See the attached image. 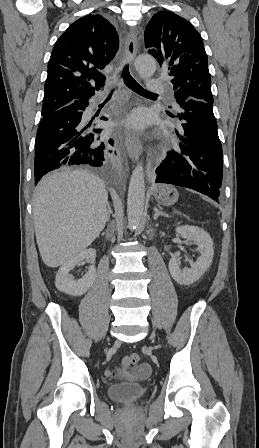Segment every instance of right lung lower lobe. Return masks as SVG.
Masks as SVG:
<instances>
[{
	"label": "right lung lower lobe",
	"instance_id": "1",
	"mask_svg": "<svg viewBox=\"0 0 259 448\" xmlns=\"http://www.w3.org/2000/svg\"><path fill=\"white\" fill-rule=\"evenodd\" d=\"M89 100L42 115L35 140V185L41 177L63 165L100 167L113 156V139L98 124H88ZM102 121L108 118L101 116Z\"/></svg>",
	"mask_w": 259,
	"mask_h": 448
}]
</instances>
